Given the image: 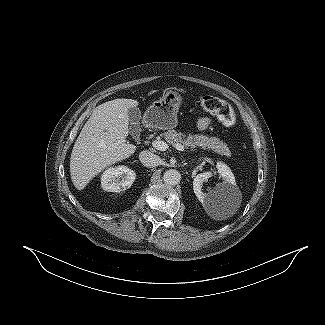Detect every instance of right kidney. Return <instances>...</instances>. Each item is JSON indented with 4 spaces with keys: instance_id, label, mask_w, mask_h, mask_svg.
I'll list each match as a JSON object with an SVG mask.
<instances>
[{
    "instance_id": "1",
    "label": "right kidney",
    "mask_w": 325,
    "mask_h": 325,
    "mask_svg": "<svg viewBox=\"0 0 325 325\" xmlns=\"http://www.w3.org/2000/svg\"><path fill=\"white\" fill-rule=\"evenodd\" d=\"M136 173L127 166L106 169L101 176V187L108 192H120L131 187Z\"/></svg>"
}]
</instances>
